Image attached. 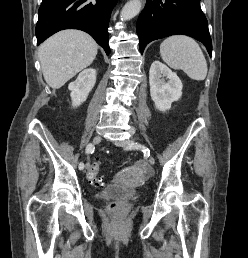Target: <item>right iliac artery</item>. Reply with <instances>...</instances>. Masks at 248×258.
<instances>
[{"label":"right iliac artery","instance_id":"obj_1","mask_svg":"<svg viewBox=\"0 0 248 258\" xmlns=\"http://www.w3.org/2000/svg\"><path fill=\"white\" fill-rule=\"evenodd\" d=\"M85 151H86L87 154L93 153V152H94V146H93V144H91V143L88 144ZM83 168H84V163L81 162V163L79 164V169L82 170Z\"/></svg>","mask_w":248,"mask_h":258}]
</instances>
